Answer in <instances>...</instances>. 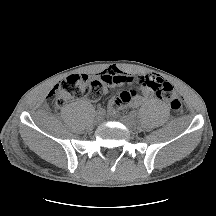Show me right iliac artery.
Here are the masks:
<instances>
[{
  "mask_svg": "<svg viewBox=\"0 0 216 216\" xmlns=\"http://www.w3.org/2000/svg\"><path fill=\"white\" fill-rule=\"evenodd\" d=\"M97 114L103 116V115L106 114V110L103 109V108H99V109L97 110Z\"/></svg>",
  "mask_w": 216,
  "mask_h": 216,
  "instance_id": "obj_1",
  "label": "right iliac artery"
}]
</instances>
